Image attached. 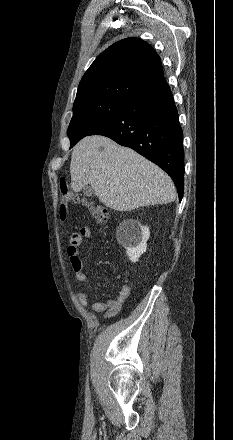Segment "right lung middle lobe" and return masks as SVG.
<instances>
[{"label":"right lung middle lobe","instance_id":"1","mask_svg":"<svg viewBox=\"0 0 233 440\" xmlns=\"http://www.w3.org/2000/svg\"><path fill=\"white\" fill-rule=\"evenodd\" d=\"M128 101L93 98L74 102L73 117L67 130L72 148L80 139L89 135L114 117Z\"/></svg>","mask_w":233,"mask_h":440}]
</instances>
